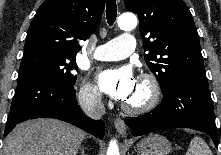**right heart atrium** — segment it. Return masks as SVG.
Masks as SVG:
<instances>
[{
	"mask_svg": "<svg viewBox=\"0 0 221 155\" xmlns=\"http://www.w3.org/2000/svg\"><path fill=\"white\" fill-rule=\"evenodd\" d=\"M78 98L83 105L89 107L98 106L102 101L101 94L97 87L88 81L81 84Z\"/></svg>",
	"mask_w": 221,
	"mask_h": 155,
	"instance_id": "obj_1",
	"label": "right heart atrium"
}]
</instances>
